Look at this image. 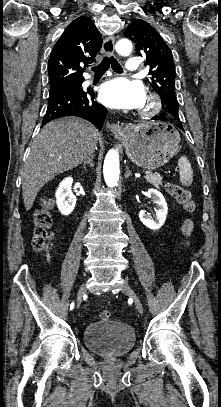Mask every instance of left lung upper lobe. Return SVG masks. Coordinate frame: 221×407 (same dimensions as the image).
<instances>
[{
  "label": "left lung upper lobe",
  "instance_id": "5c2ea615",
  "mask_svg": "<svg viewBox=\"0 0 221 407\" xmlns=\"http://www.w3.org/2000/svg\"><path fill=\"white\" fill-rule=\"evenodd\" d=\"M124 35L136 44L137 55L146 58L149 82L160 95L164 110L179 119L174 61L166 42L149 23L138 19L128 25Z\"/></svg>",
  "mask_w": 221,
  "mask_h": 407
}]
</instances>
